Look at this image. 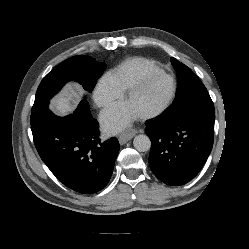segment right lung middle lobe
Instances as JSON below:
<instances>
[{"label":"right lung middle lobe","instance_id":"obj_1","mask_svg":"<svg viewBox=\"0 0 249 249\" xmlns=\"http://www.w3.org/2000/svg\"><path fill=\"white\" fill-rule=\"evenodd\" d=\"M106 65L97 63L90 56H74L63 61L50 71L41 81L31 112V124L38 121L48 111L49 100L68 81H77L91 92Z\"/></svg>","mask_w":249,"mask_h":249}]
</instances>
